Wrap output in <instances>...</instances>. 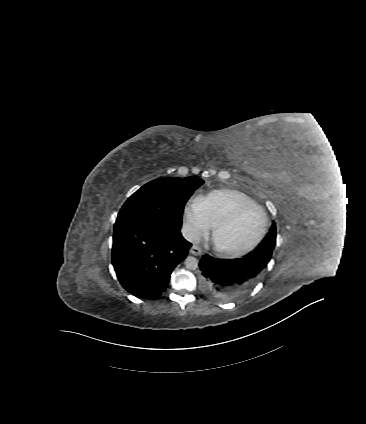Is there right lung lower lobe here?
<instances>
[{"label":"right lung lower lobe","instance_id":"98d812e1","mask_svg":"<svg viewBox=\"0 0 366 424\" xmlns=\"http://www.w3.org/2000/svg\"><path fill=\"white\" fill-rule=\"evenodd\" d=\"M191 246L180 230H168L158 222L115 224L112 264L128 292L148 299L166 289L172 270Z\"/></svg>","mask_w":366,"mask_h":424}]
</instances>
